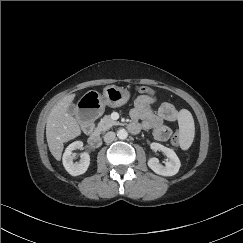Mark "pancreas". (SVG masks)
Returning <instances> with one entry per match:
<instances>
[{
	"label": "pancreas",
	"mask_w": 243,
	"mask_h": 243,
	"mask_svg": "<svg viewBox=\"0 0 243 243\" xmlns=\"http://www.w3.org/2000/svg\"><path fill=\"white\" fill-rule=\"evenodd\" d=\"M115 125H119V123L117 121L112 120L110 115H105L98 123L96 130L98 132H105Z\"/></svg>",
	"instance_id": "pancreas-1"
}]
</instances>
